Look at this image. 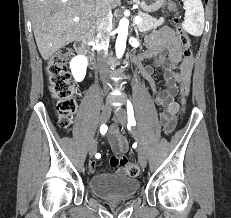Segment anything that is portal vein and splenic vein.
<instances>
[{
  "instance_id": "obj_1",
  "label": "portal vein and splenic vein",
  "mask_w": 231,
  "mask_h": 218,
  "mask_svg": "<svg viewBox=\"0 0 231 218\" xmlns=\"http://www.w3.org/2000/svg\"><path fill=\"white\" fill-rule=\"evenodd\" d=\"M74 22H78L79 21V18L76 17L73 19ZM142 21V18L141 17H136L135 18V24L138 25L140 22Z\"/></svg>"
}]
</instances>
